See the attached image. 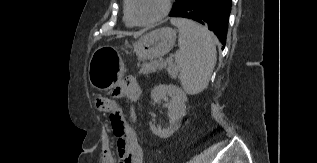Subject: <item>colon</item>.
<instances>
[{
  "label": "colon",
  "mask_w": 317,
  "mask_h": 163,
  "mask_svg": "<svg viewBox=\"0 0 317 163\" xmlns=\"http://www.w3.org/2000/svg\"><path fill=\"white\" fill-rule=\"evenodd\" d=\"M96 107L105 112L110 113V121L115 132L120 133L124 128V118L122 110L111 100L103 95H99L95 99Z\"/></svg>",
  "instance_id": "obj_1"
}]
</instances>
